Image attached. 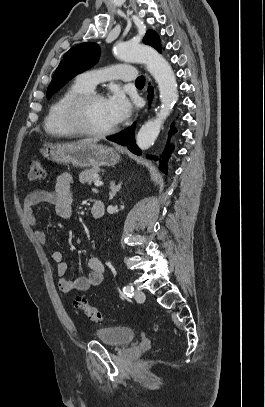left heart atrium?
<instances>
[{
	"instance_id": "1",
	"label": "left heart atrium",
	"mask_w": 265,
	"mask_h": 407,
	"mask_svg": "<svg viewBox=\"0 0 265 407\" xmlns=\"http://www.w3.org/2000/svg\"><path fill=\"white\" fill-rule=\"evenodd\" d=\"M107 110L114 124L125 121L132 113V105L125 95L119 91L113 92L105 99Z\"/></svg>"
}]
</instances>
